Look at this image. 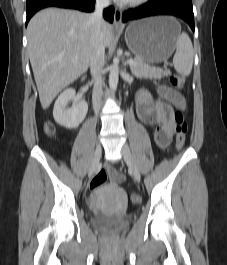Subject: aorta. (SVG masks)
<instances>
[{"mask_svg": "<svg viewBox=\"0 0 227 265\" xmlns=\"http://www.w3.org/2000/svg\"><path fill=\"white\" fill-rule=\"evenodd\" d=\"M118 75H119V66L116 61L113 62L110 67V75H109V86L112 90H115L118 85Z\"/></svg>", "mask_w": 227, "mask_h": 265, "instance_id": "1", "label": "aorta"}]
</instances>
